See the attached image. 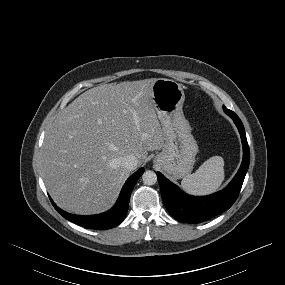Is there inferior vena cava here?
Returning <instances> with one entry per match:
<instances>
[{
  "mask_svg": "<svg viewBox=\"0 0 285 285\" xmlns=\"http://www.w3.org/2000/svg\"><path fill=\"white\" fill-rule=\"evenodd\" d=\"M122 164L127 170L132 171L137 168L138 161L134 155H128L123 158Z\"/></svg>",
  "mask_w": 285,
  "mask_h": 285,
  "instance_id": "obj_1",
  "label": "inferior vena cava"
}]
</instances>
